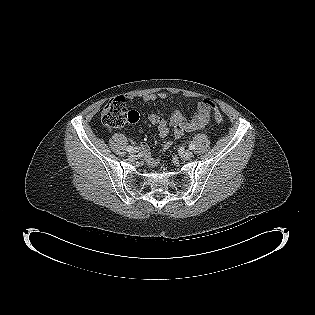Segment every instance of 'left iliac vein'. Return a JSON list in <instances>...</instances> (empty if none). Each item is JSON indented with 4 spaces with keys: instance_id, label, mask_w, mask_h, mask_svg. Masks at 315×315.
I'll use <instances>...</instances> for the list:
<instances>
[{
    "instance_id": "obj_1",
    "label": "left iliac vein",
    "mask_w": 315,
    "mask_h": 315,
    "mask_svg": "<svg viewBox=\"0 0 315 315\" xmlns=\"http://www.w3.org/2000/svg\"><path fill=\"white\" fill-rule=\"evenodd\" d=\"M192 156H193V153L190 150H186L180 153V157L182 159H190Z\"/></svg>"
}]
</instances>
